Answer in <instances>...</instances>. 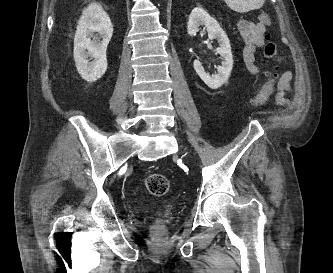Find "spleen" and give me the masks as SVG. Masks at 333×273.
Here are the masks:
<instances>
[{"mask_svg":"<svg viewBox=\"0 0 333 273\" xmlns=\"http://www.w3.org/2000/svg\"><path fill=\"white\" fill-rule=\"evenodd\" d=\"M226 4L235 12L245 13L251 10L259 9L263 6L265 0H224Z\"/></svg>","mask_w":333,"mask_h":273,"instance_id":"spleen-1","label":"spleen"}]
</instances>
